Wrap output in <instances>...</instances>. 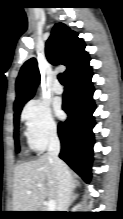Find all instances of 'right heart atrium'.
<instances>
[{"label":"right heart atrium","mask_w":123,"mask_h":219,"mask_svg":"<svg viewBox=\"0 0 123 219\" xmlns=\"http://www.w3.org/2000/svg\"><path fill=\"white\" fill-rule=\"evenodd\" d=\"M21 118L26 126L28 141L35 150L43 151L56 139L58 126L47 104L38 100L28 102Z\"/></svg>","instance_id":"1"}]
</instances>
